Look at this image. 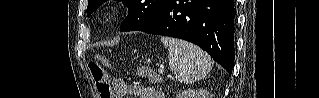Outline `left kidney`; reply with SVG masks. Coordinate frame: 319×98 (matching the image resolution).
<instances>
[{
    "instance_id": "obj_1",
    "label": "left kidney",
    "mask_w": 319,
    "mask_h": 98,
    "mask_svg": "<svg viewBox=\"0 0 319 98\" xmlns=\"http://www.w3.org/2000/svg\"><path fill=\"white\" fill-rule=\"evenodd\" d=\"M209 92L202 88L199 90H184L180 92L177 98H210Z\"/></svg>"
}]
</instances>
